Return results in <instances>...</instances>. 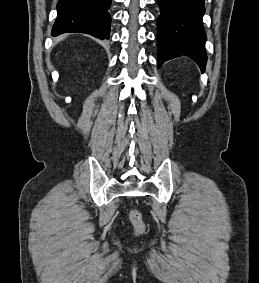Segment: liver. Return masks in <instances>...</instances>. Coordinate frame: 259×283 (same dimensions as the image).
<instances>
[{
	"label": "liver",
	"instance_id": "liver-1",
	"mask_svg": "<svg viewBox=\"0 0 259 283\" xmlns=\"http://www.w3.org/2000/svg\"><path fill=\"white\" fill-rule=\"evenodd\" d=\"M63 39H64V37H61V38H59V39L57 40V42L60 41V40H63Z\"/></svg>",
	"mask_w": 259,
	"mask_h": 283
}]
</instances>
